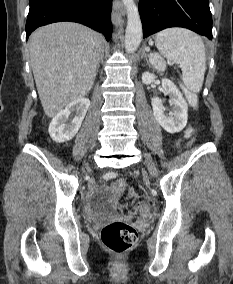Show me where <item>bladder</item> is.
I'll return each instance as SVG.
<instances>
[{
    "label": "bladder",
    "mask_w": 233,
    "mask_h": 284,
    "mask_svg": "<svg viewBox=\"0 0 233 284\" xmlns=\"http://www.w3.org/2000/svg\"><path fill=\"white\" fill-rule=\"evenodd\" d=\"M108 194L109 193L107 190L100 189L94 194L92 201H94L97 204H102L107 199Z\"/></svg>",
    "instance_id": "obj_1"
}]
</instances>
